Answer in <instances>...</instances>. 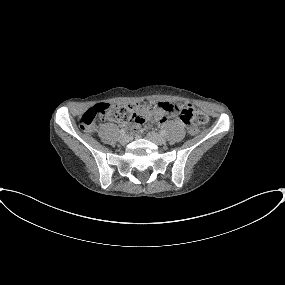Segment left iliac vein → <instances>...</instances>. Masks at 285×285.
Returning <instances> with one entry per match:
<instances>
[{"mask_svg":"<svg viewBox=\"0 0 285 285\" xmlns=\"http://www.w3.org/2000/svg\"><path fill=\"white\" fill-rule=\"evenodd\" d=\"M147 138L157 145H163L166 143V138L164 136L153 132H149L147 134Z\"/></svg>","mask_w":285,"mask_h":285,"instance_id":"obj_1","label":"left iliac vein"}]
</instances>
